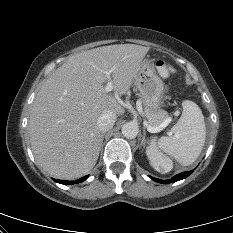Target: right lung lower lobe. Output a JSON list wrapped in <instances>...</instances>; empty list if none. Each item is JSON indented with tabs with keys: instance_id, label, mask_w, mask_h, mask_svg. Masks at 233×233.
<instances>
[{
	"instance_id": "98d812e1",
	"label": "right lung lower lobe",
	"mask_w": 233,
	"mask_h": 233,
	"mask_svg": "<svg viewBox=\"0 0 233 233\" xmlns=\"http://www.w3.org/2000/svg\"><path fill=\"white\" fill-rule=\"evenodd\" d=\"M88 176H84L80 179L77 180V183H80V182H83L87 179ZM54 181L58 182V183H61V184H64V185H72L74 184L76 181H63V180H56V179H53Z\"/></svg>"
}]
</instances>
